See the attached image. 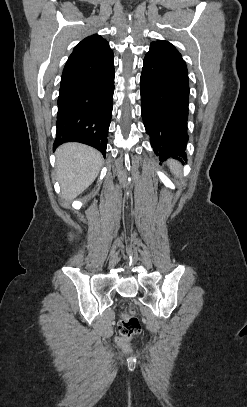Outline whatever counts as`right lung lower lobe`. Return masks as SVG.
<instances>
[{"label":"right lung lower lobe","instance_id":"obj_1","mask_svg":"<svg viewBox=\"0 0 247 407\" xmlns=\"http://www.w3.org/2000/svg\"><path fill=\"white\" fill-rule=\"evenodd\" d=\"M113 93V56L78 78L62 83L53 149L65 142H80L98 149L105 156Z\"/></svg>","mask_w":247,"mask_h":407}]
</instances>
